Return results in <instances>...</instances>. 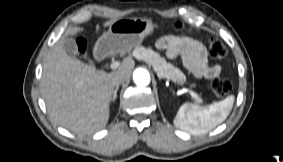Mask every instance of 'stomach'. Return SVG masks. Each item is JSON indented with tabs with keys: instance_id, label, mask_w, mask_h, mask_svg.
<instances>
[{
	"instance_id": "stomach-1",
	"label": "stomach",
	"mask_w": 283,
	"mask_h": 162,
	"mask_svg": "<svg viewBox=\"0 0 283 162\" xmlns=\"http://www.w3.org/2000/svg\"><path fill=\"white\" fill-rule=\"evenodd\" d=\"M155 30V24L148 18H121L114 21L109 30L97 41L94 51L98 57L107 54L126 53L137 48L146 36ZM185 77L177 82L184 84Z\"/></svg>"
}]
</instances>
